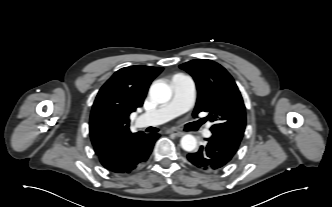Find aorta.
I'll return each instance as SVG.
<instances>
[{
  "mask_svg": "<svg viewBox=\"0 0 332 207\" xmlns=\"http://www.w3.org/2000/svg\"><path fill=\"white\" fill-rule=\"evenodd\" d=\"M150 97L157 103H165L171 99L172 90L166 83L155 82L149 90ZM181 147L183 150L191 152L197 146V140L193 135L187 134L181 138Z\"/></svg>",
  "mask_w": 332,
  "mask_h": 207,
  "instance_id": "762f6f07",
  "label": "aorta"
}]
</instances>
